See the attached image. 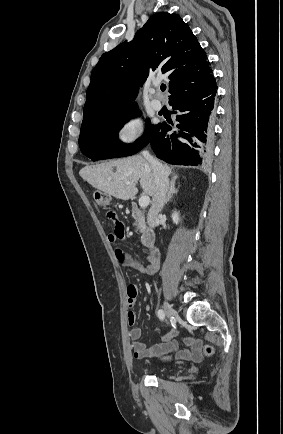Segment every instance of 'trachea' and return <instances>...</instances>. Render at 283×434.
Masks as SVG:
<instances>
[{
    "mask_svg": "<svg viewBox=\"0 0 283 434\" xmlns=\"http://www.w3.org/2000/svg\"><path fill=\"white\" fill-rule=\"evenodd\" d=\"M160 89H161L162 91H165V90H166V85H165V84H162L161 87H160Z\"/></svg>",
    "mask_w": 283,
    "mask_h": 434,
    "instance_id": "3493384b",
    "label": "trachea"
}]
</instances>
